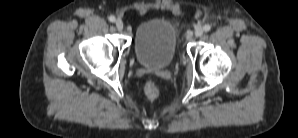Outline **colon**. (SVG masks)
<instances>
[{
  "label": "colon",
  "mask_w": 298,
  "mask_h": 138,
  "mask_svg": "<svg viewBox=\"0 0 298 138\" xmlns=\"http://www.w3.org/2000/svg\"><path fill=\"white\" fill-rule=\"evenodd\" d=\"M144 94L149 101H154L159 94L157 85L152 81L147 82L144 87Z\"/></svg>",
  "instance_id": "colon-1"
}]
</instances>
